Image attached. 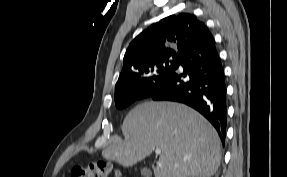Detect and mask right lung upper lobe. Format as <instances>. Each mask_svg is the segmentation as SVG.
Masks as SVG:
<instances>
[{
  "instance_id": "obj_1",
  "label": "right lung upper lobe",
  "mask_w": 287,
  "mask_h": 177,
  "mask_svg": "<svg viewBox=\"0 0 287 177\" xmlns=\"http://www.w3.org/2000/svg\"><path fill=\"white\" fill-rule=\"evenodd\" d=\"M206 25L188 13L171 15L140 33L126 50L123 68L115 87L134 85L155 63L181 56Z\"/></svg>"
}]
</instances>
